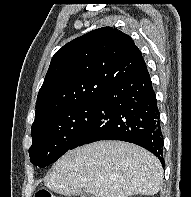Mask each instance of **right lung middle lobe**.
Here are the masks:
<instances>
[{
  "label": "right lung middle lobe",
  "mask_w": 191,
  "mask_h": 197,
  "mask_svg": "<svg viewBox=\"0 0 191 197\" xmlns=\"http://www.w3.org/2000/svg\"><path fill=\"white\" fill-rule=\"evenodd\" d=\"M98 106L97 101L78 104L50 115L32 126L30 161L45 167L66 153Z\"/></svg>",
  "instance_id": "dd1d6c3e"
}]
</instances>
